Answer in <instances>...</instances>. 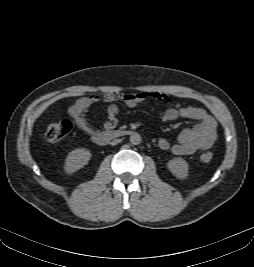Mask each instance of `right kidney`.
<instances>
[{"instance_id":"obj_1","label":"right kidney","mask_w":254,"mask_h":267,"mask_svg":"<svg viewBox=\"0 0 254 267\" xmlns=\"http://www.w3.org/2000/svg\"><path fill=\"white\" fill-rule=\"evenodd\" d=\"M91 159V153L85 148H76L72 150L65 160V171L72 174L84 167Z\"/></svg>"}]
</instances>
